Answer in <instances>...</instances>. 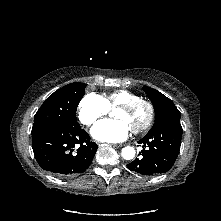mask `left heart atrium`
Instances as JSON below:
<instances>
[{"label":"left heart atrium","mask_w":221,"mask_h":221,"mask_svg":"<svg viewBox=\"0 0 221 221\" xmlns=\"http://www.w3.org/2000/svg\"><path fill=\"white\" fill-rule=\"evenodd\" d=\"M131 128L123 120H103L91 130L94 139L102 142H121L130 134Z\"/></svg>","instance_id":"1"}]
</instances>
